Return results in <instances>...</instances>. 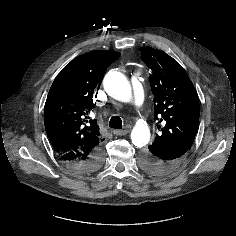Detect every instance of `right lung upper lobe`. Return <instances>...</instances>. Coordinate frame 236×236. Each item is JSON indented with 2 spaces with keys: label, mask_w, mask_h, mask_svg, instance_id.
<instances>
[{
  "label": "right lung upper lobe",
  "mask_w": 236,
  "mask_h": 236,
  "mask_svg": "<svg viewBox=\"0 0 236 236\" xmlns=\"http://www.w3.org/2000/svg\"><path fill=\"white\" fill-rule=\"evenodd\" d=\"M120 53L92 51L72 60L55 78L44 108V124L62 160H86L101 147L99 126L92 117L93 92Z\"/></svg>",
  "instance_id": "obj_1"
}]
</instances>
